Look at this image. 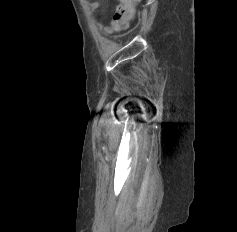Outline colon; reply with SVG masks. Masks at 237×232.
Returning <instances> with one entry per match:
<instances>
[{
	"mask_svg": "<svg viewBox=\"0 0 237 232\" xmlns=\"http://www.w3.org/2000/svg\"><path fill=\"white\" fill-rule=\"evenodd\" d=\"M138 1L139 0H120L112 17L111 26L107 31H120L128 28L134 16L135 5Z\"/></svg>",
	"mask_w": 237,
	"mask_h": 232,
	"instance_id": "colon-1",
	"label": "colon"
}]
</instances>
